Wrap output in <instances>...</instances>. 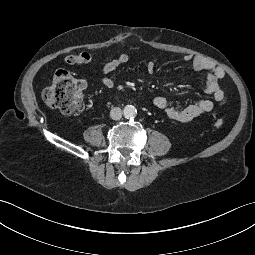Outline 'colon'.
I'll return each instance as SVG.
<instances>
[{"instance_id": "5ec220e1", "label": "colon", "mask_w": 255, "mask_h": 255, "mask_svg": "<svg viewBox=\"0 0 255 255\" xmlns=\"http://www.w3.org/2000/svg\"><path fill=\"white\" fill-rule=\"evenodd\" d=\"M42 100L48 107L66 115L81 114L84 110L80 83L65 70H58L54 73L51 85L42 92ZM222 125L223 120L217 118L215 126L221 127Z\"/></svg>"}]
</instances>
